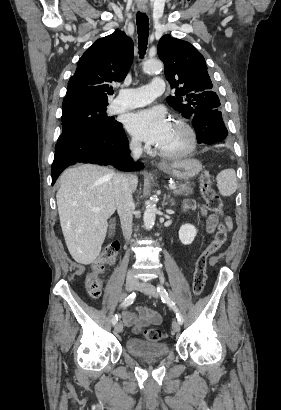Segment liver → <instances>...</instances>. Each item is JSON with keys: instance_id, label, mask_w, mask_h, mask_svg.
<instances>
[{"instance_id": "1", "label": "liver", "mask_w": 281, "mask_h": 410, "mask_svg": "<svg viewBox=\"0 0 281 410\" xmlns=\"http://www.w3.org/2000/svg\"><path fill=\"white\" fill-rule=\"evenodd\" d=\"M106 167L82 164L67 169L60 177L56 193L58 213L67 248L73 259L88 265L98 257L105 240L108 222L116 210L113 178ZM130 176L131 191L138 185ZM101 210L94 212L91 208Z\"/></svg>"}]
</instances>
